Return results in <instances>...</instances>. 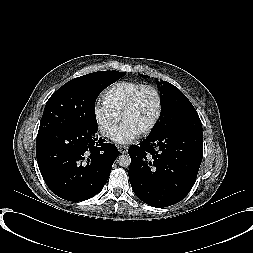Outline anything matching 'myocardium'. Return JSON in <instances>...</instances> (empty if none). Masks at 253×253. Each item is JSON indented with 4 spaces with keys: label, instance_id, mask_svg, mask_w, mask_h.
Wrapping results in <instances>:
<instances>
[{
    "label": "myocardium",
    "instance_id": "f54148a6",
    "mask_svg": "<svg viewBox=\"0 0 253 253\" xmlns=\"http://www.w3.org/2000/svg\"><path fill=\"white\" fill-rule=\"evenodd\" d=\"M148 90L153 91L156 95L157 109H156L155 116H154L152 122L150 123V125L146 129H144L143 131L140 132L141 136L149 135L155 129V127L157 126V124L161 118L162 110H163V98H162V94H161L160 90L156 86L148 85V84L140 87L129 97V99L126 101V103L120 113V119H121V121H123L125 115L134 107V105L136 104L140 95L143 92L148 91Z\"/></svg>",
    "mask_w": 253,
    "mask_h": 253
}]
</instances>
